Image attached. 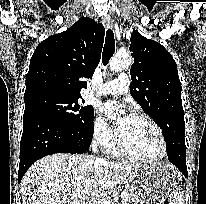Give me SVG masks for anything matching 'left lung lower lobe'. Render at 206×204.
I'll return each mask as SVG.
<instances>
[{"label": "left lung lower lobe", "mask_w": 206, "mask_h": 204, "mask_svg": "<svg viewBox=\"0 0 206 204\" xmlns=\"http://www.w3.org/2000/svg\"><path fill=\"white\" fill-rule=\"evenodd\" d=\"M168 159L173 163L187 178L186 166V146L183 140L168 141L167 143Z\"/></svg>", "instance_id": "1"}]
</instances>
